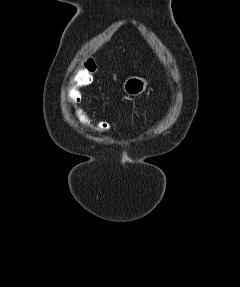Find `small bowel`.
<instances>
[{
  "label": "small bowel",
  "instance_id": "obj_1",
  "mask_svg": "<svg viewBox=\"0 0 240 287\" xmlns=\"http://www.w3.org/2000/svg\"><path fill=\"white\" fill-rule=\"evenodd\" d=\"M97 97L96 96H93V99H96Z\"/></svg>",
  "mask_w": 240,
  "mask_h": 287
}]
</instances>
